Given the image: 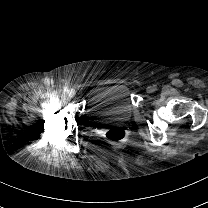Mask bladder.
I'll return each instance as SVG.
<instances>
[{"instance_id": "obj_1", "label": "bladder", "mask_w": 208, "mask_h": 208, "mask_svg": "<svg viewBox=\"0 0 208 208\" xmlns=\"http://www.w3.org/2000/svg\"><path fill=\"white\" fill-rule=\"evenodd\" d=\"M127 92L128 87L121 84L100 88L92 100L90 113L109 116L129 115Z\"/></svg>"}]
</instances>
